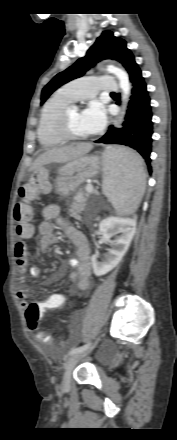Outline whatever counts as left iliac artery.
I'll list each match as a JSON object with an SVG mask.
<instances>
[{
	"mask_svg": "<svg viewBox=\"0 0 177 440\" xmlns=\"http://www.w3.org/2000/svg\"><path fill=\"white\" fill-rule=\"evenodd\" d=\"M90 345H91V343L89 342V343H87V344H85V345H83V346H81V347L73 348V349L69 352V355H73V354H75V353L82 352V351L88 349V348L90 347Z\"/></svg>",
	"mask_w": 177,
	"mask_h": 440,
	"instance_id": "obj_1",
	"label": "left iliac artery"
}]
</instances>
